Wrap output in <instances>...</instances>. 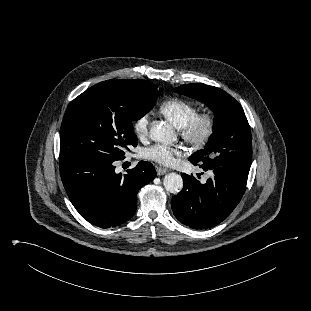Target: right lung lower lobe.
Wrapping results in <instances>:
<instances>
[{"mask_svg": "<svg viewBox=\"0 0 311 311\" xmlns=\"http://www.w3.org/2000/svg\"><path fill=\"white\" fill-rule=\"evenodd\" d=\"M67 195L79 214L101 228L121 225L137 208V193L157 175L149 162H139L126 174L116 173L114 161L90 158L60 160Z\"/></svg>", "mask_w": 311, "mask_h": 311, "instance_id": "right-lung-lower-lobe-1", "label": "right lung lower lobe"}]
</instances>
